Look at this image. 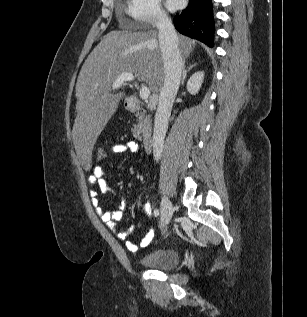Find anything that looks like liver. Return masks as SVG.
<instances>
[{
  "label": "liver",
  "mask_w": 307,
  "mask_h": 317,
  "mask_svg": "<svg viewBox=\"0 0 307 317\" xmlns=\"http://www.w3.org/2000/svg\"><path fill=\"white\" fill-rule=\"evenodd\" d=\"M195 43L178 36V48L184 59ZM124 72L134 74L154 93L161 90L164 67L156 30L112 31L84 62L76 83L77 116L73 126L74 151L84 172H91L93 145L123 97V92L111 94V87Z\"/></svg>",
  "instance_id": "6515ba94"
}]
</instances>
